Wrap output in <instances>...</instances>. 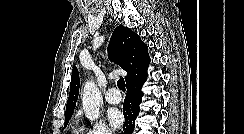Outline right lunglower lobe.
<instances>
[{
	"mask_svg": "<svg viewBox=\"0 0 244 134\" xmlns=\"http://www.w3.org/2000/svg\"><path fill=\"white\" fill-rule=\"evenodd\" d=\"M146 78L147 76L133 80L127 84V94L123 104V114L125 117L123 134H132L134 131L135 119L139 114V105L143 96L141 88Z\"/></svg>",
	"mask_w": 244,
	"mask_h": 134,
	"instance_id": "obj_1",
	"label": "right lung lower lobe"
}]
</instances>
